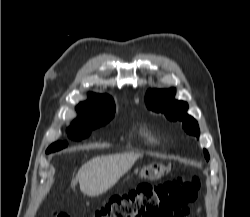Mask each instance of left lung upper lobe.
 I'll return each instance as SVG.
<instances>
[{"label": "left lung upper lobe", "mask_w": 250, "mask_h": 217, "mask_svg": "<svg viewBox=\"0 0 250 217\" xmlns=\"http://www.w3.org/2000/svg\"><path fill=\"white\" fill-rule=\"evenodd\" d=\"M175 89L148 90L146 94L147 107L155 112L165 114L170 121H181L184 130L199 137V127L197 121L187 114L188 104L174 99ZM204 156L209 160L208 151L204 149Z\"/></svg>", "instance_id": "obj_1"}]
</instances>
